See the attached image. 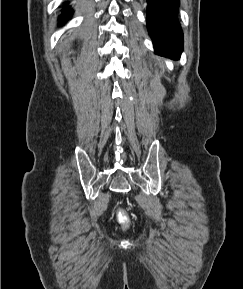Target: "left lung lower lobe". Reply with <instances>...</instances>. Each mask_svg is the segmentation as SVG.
<instances>
[{"instance_id":"left-lung-lower-lobe-1","label":"left lung lower lobe","mask_w":243,"mask_h":289,"mask_svg":"<svg viewBox=\"0 0 243 289\" xmlns=\"http://www.w3.org/2000/svg\"><path fill=\"white\" fill-rule=\"evenodd\" d=\"M147 26L156 52L180 58L183 33L176 13L179 0H147Z\"/></svg>"}]
</instances>
